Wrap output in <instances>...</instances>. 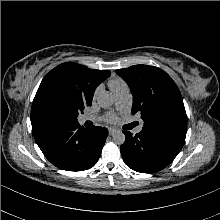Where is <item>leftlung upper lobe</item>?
Wrapping results in <instances>:
<instances>
[{
    "label": "left lung upper lobe",
    "mask_w": 220,
    "mask_h": 220,
    "mask_svg": "<svg viewBox=\"0 0 220 220\" xmlns=\"http://www.w3.org/2000/svg\"><path fill=\"white\" fill-rule=\"evenodd\" d=\"M116 73L131 89L132 114H140L144 121L141 132L181 150L187 132V115L172 78L162 69L149 65H134Z\"/></svg>",
    "instance_id": "5c2ea615"
}]
</instances>
